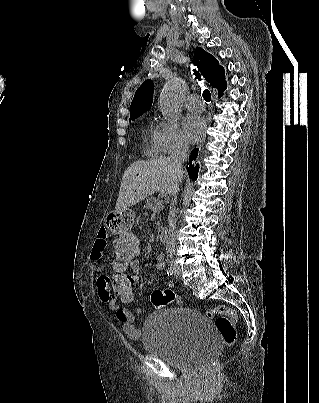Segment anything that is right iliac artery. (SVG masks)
Listing matches in <instances>:
<instances>
[{
	"label": "right iliac artery",
	"mask_w": 319,
	"mask_h": 403,
	"mask_svg": "<svg viewBox=\"0 0 319 403\" xmlns=\"http://www.w3.org/2000/svg\"><path fill=\"white\" fill-rule=\"evenodd\" d=\"M167 274L172 275L173 274V269L170 267L167 269Z\"/></svg>",
	"instance_id": "82829eb1"
}]
</instances>
